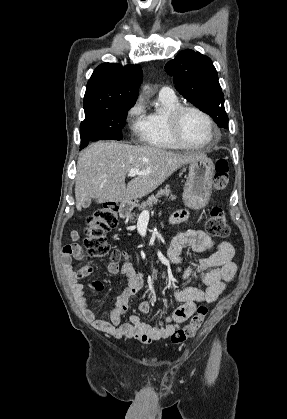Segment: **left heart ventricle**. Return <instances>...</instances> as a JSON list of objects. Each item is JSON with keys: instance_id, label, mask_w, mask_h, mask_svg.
<instances>
[{"instance_id": "1", "label": "left heart ventricle", "mask_w": 287, "mask_h": 419, "mask_svg": "<svg viewBox=\"0 0 287 419\" xmlns=\"http://www.w3.org/2000/svg\"><path fill=\"white\" fill-rule=\"evenodd\" d=\"M180 132L183 138L192 144L206 142L211 132L205 119L196 112L187 111L180 119Z\"/></svg>"}]
</instances>
